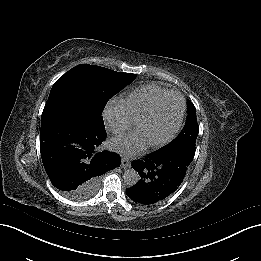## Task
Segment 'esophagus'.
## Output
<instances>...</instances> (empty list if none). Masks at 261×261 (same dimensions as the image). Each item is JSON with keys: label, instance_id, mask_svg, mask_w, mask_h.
Instances as JSON below:
<instances>
[{"label": "esophagus", "instance_id": "obj_1", "mask_svg": "<svg viewBox=\"0 0 261 261\" xmlns=\"http://www.w3.org/2000/svg\"><path fill=\"white\" fill-rule=\"evenodd\" d=\"M121 166H122L123 168L129 167V166H130V160H129L128 158H126V157H123V158H122Z\"/></svg>", "mask_w": 261, "mask_h": 261}]
</instances>
